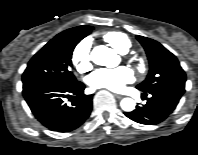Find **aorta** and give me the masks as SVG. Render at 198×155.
Segmentation results:
<instances>
[{"instance_id": "aorta-1", "label": "aorta", "mask_w": 198, "mask_h": 155, "mask_svg": "<svg viewBox=\"0 0 198 155\" xmlns=\"http://www.w3.org/2000/svg\"><path fill=\"white\" fill-rule=\"evenodd\" d=\"M91 60L100 66L115 67L119 62V57L115 52L103 45L96 46L91 52ZM135 101L132 98H123L120 102L122 110L131 112L135 109Z\"/></svg>"}]
</instances>
